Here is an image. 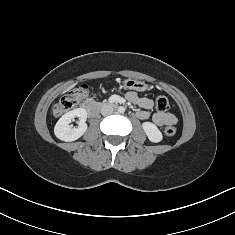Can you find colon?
Returning <instances> with one entry per match:
<instances>
[{
  "instance_id": "obj_1",
  "label": "colon",
  "mask_w": 235,
  "mask_h": 235,
  "mask_svg": "<svg viewBox=\"0 0 235 235\" xmlns=\"http://www.w3.org/2000/svg\"><path fill=\"white\" fill-rule=\"evenodd\" d=\"M89 95V87L87 85H81L71 90L66 96L61 98L53 106V114L55 116H61L71 110H73L81 101L85 100ZM170 107L169 100L166 96H158L156 98V109L159 112H166ZM164 133L166 136H173L176 133V127L169 125L165 128Z\"/></svg>"
}]
</instances>
